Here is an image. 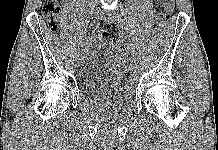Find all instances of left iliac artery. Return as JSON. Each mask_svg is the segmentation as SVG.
Returning <instances> with one entry per match:
<instances>
[{
	"label": "left iliac artery",
	"mask_w": 218,
	"mask_h": 150,
	"mask_svg": "<svg viewBox=\"0 0 218 150\" xmlns=\"http://www.w3.org/2000/svg\"><path fill=\"white\" fill-rule=\"evenodd\" d=\"M125 26H126L125 20H124V19H121V20H120L119 29L126 33L128 30H127V28H126ZM131 56H132V57H129V60L126 61L127 65H128V64H131V65L134 64V63H132V62L130 61V60L133 58V55H132V54H131Z\"/></svg>",
	"instance_id": "44dca946"
}]
</instances>
